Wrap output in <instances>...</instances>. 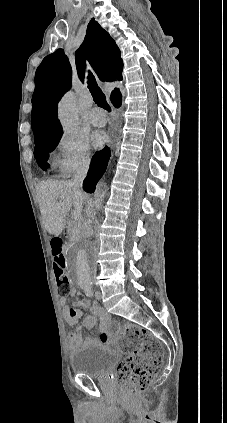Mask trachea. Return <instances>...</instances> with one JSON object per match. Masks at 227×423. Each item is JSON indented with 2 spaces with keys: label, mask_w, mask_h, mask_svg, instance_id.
<instances>
[{
  "label": "trachea",
  "mask_w": 227,
  "mask_h": 423,
  "mask_svg": "<svg viewBox=\"0 0 227 423\" xmlns=\"http://www.w3.org/2000/svg\"><path fill=\"white\" fill-rule=\"evenodd\" d=\"M87 83L91 95L98 107L104 108L107 112H111V107L107 103L106 96L98 86L96 79L91 72H89Z\"/></svg>",
  "instance_id": "trachea-1"
}]
</instances>
